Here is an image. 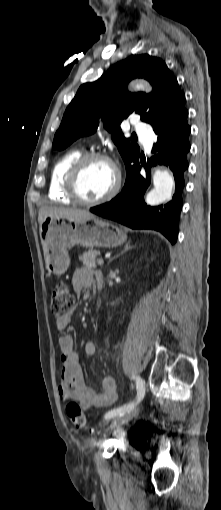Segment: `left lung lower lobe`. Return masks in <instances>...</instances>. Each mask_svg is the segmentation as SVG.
<instances>
[{"mask_svg": "<svg viewBox=\"0 0 221 510\" xmlns=\"http://www.w3.org/2000/svg\"><path fill=\"white\" fill-rule=\"evenodd\" d=\"M187 115L176 121L154 129L157 141L152 148L154 154L147 165L139 158L127 169L125 185L121 193L108 203L90 209L104 218L117 221L133 229H152L161 232L174 244L178 236V224L182 208V190L184 172L188 168L186 158L190 150L189 134L191 128ZM165 165L172 171L175 180V194L166 205L147 206L143 195L150 185L149 168L151 165ZM141 165L146 176L140 174Z\"/></svg>", "mask_w": 221, "mask_h": 510, "instance_id": "0a47b994", "label": "left lung lower lobe"}]
</instances>
